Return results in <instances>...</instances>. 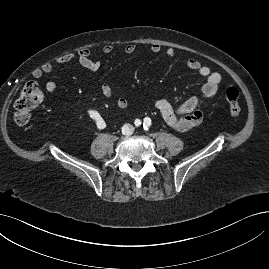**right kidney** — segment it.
I'll use <instances>...</instances> for the list:
<instances>
[{
  "instance_id": "right-kidney-1",
  "label": "right kidney",
  "mask_w": 269,
  "mask_h": 269,
  "mask_svg": "<svg viewBox=\"0 0 269 269\" xmlns=\"http://www.w3.org/2000/svg\"><path fill=\"white\" fill-rule=\"evenodd\" d=\"M93 116H97L96 113L93 112ZM94 125H95L96 128L102 129V128L105 127L106 122H105L104 119L98 118V119L95 120Z\"/></svg>"
}]
</instances>
